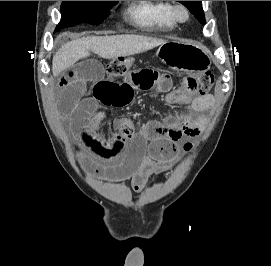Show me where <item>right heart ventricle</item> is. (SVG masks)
Returning a JSON list of instances; mask_svg holds the SVG:
<instances>
[{
	"instance_id": "right-heart-ventricle-1",
	"label": "right heart ventricle",
	"mask_w": 271,
	"mask_h": 266,
	"mask_svg": "<svg viewBox=\"0 0 271 266\" xmlns=\"http://www.w3.org/2000/svg\"><path fill=\"white\" fill-rule=\"evenodd\" d=\"M129 14L142 27L172 29L176 26L170 1H138L129 9Z\"/></svg>"
}]
</instances>
